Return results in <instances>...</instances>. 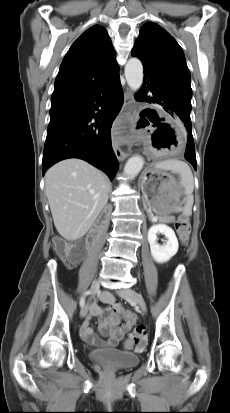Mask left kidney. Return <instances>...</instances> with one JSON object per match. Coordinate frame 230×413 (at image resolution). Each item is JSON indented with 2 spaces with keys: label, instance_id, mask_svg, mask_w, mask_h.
<instances>
[{
  "label": "left kidney",
  "instance_id": "obj_1",
  "mask_svg": "<svg viewBox=\"0 0 230 413\" xmlns=\"http://www.w3.org/2000/svg\"><path fill=\"white\" fill-rule=\"evenodd\" d=\"M161 233L168 239L165 245L157 243V234ZM148 242L151 255L157 263L169 261L178 251V240L172 228L165 224H156L148 230Z\"/></svg>",
  "mask_w": 230,
  "mask_h": 413
}]
</instances>
